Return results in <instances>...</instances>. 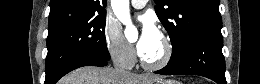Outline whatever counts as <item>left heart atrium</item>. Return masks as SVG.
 <instances>
[{
  "mask_svg": "<svg viewBox=\"0 0 260 84\" xmlns=\"http://www.w3.org/2000/svg\"><path fill=\"white\" fill-rule=\"evenodd\" d=\"M141 34L137 43V50L142 56L151 49L154 43L160 37L159 30L153 20L148 16L140 17Z\"/></svg>",
  "mask_w": 260,
  "mask_h": 84,
  "instance_id": "1",
  "label": "left heart atrium"
}]
</instances>
